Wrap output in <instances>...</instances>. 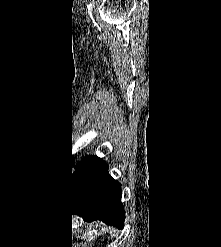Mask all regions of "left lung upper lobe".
<instances>
[{"mask_svg": "<svg viewBox=\"0 0 221 247\" xmlns=\"http://www.w3.org/2000/svg\"><path fill=\"white\" fill-rule=\"evenodd\" d=\"M80 162H81V161H80ZM80 162L78 163V165H77V166H75V168H74V170H73V171H71V170H70V173H69V176H68V177H69V178H68V179H69L68 181H70V180H71V178H72V176H73V174H74L75 170H76V169H77V167L79 166Z\"/></svg>", "mask_w": 221, "mask_h": 247, "instance_id": "5c2ea615", "label": "left lung upper lobe"}]
</instances>
